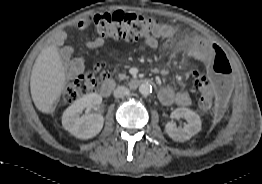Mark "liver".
Masks as SVG:
<instances>
[{
    "mask_svg": "<svg viewBox=\"0 0 262 184\" xmlns=\"http://www.w3.org/2000/svg\"><path fill=\"white\" fill-rule=\"evenodd\" d=\"M65 84L61 56L55 45H49L40 52L31 72L30 91L36 108L46 114L53 112Z\"/></svg>",
    "mask_w": 262,
    "mask_h": 184,
    "instance_id": "6515ba94",
    "label": "liver"
}]
</instances>
